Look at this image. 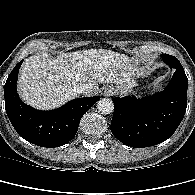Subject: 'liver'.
I'll list each match as a JSON object with an SVG mask.
<instances>
[{
  "label": "liver",
  "instance_id": "6515ba94",
  "mask_svg": "<svg viewBox=\"0 0 195 195\" xmlns=\"http://www.w3.org/2000/svg\"><path fill=\"white\" fill-rule=\"evenodd\" d=\"M140 76L138 64L125 54L90 49L63 53L58 58L30 56L20 68L17 88L25 103L50 110L77 97L76 86L89 85V94L96 93L99 84L104 83H114L126 90L135 85V79Z\"/></svg>",
  "mask_w": 195,
  "mask_h": 195
}]
</instances>
